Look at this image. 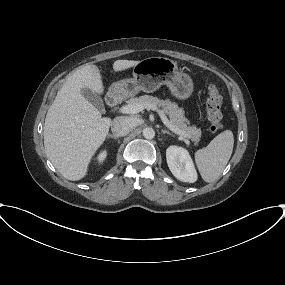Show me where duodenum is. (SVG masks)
<instances>
[{
  "label": "duodenum",
  "instance_id": "1",
  "mask_svg": "<svg viewBox=\"0 0 285 285\" xmlns=\"http://www.w3.org/2000/svg\"><path fill=\"white\" fill-rule=\"evenodd\" d=\"M119 103V97L116 94H109L107 97V105L109 107H115Z\"/></svg>",
  "mask_w": 285,
  "mask_h": 285
}]
</instances>
